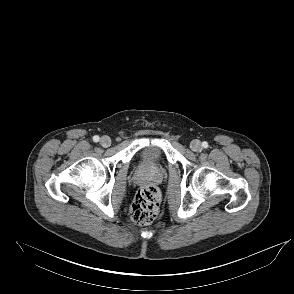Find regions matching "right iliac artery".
<instances>
[{
    "label": "right iliac artery",
    "mask_w": 294,
    "mask_h": 294,
    "mask_svg": "<svg viewBox=\"0 0 294 294\" xmlns=\"http://www.w3.org/2000/svg\"><path fill=\"white\" fill-rule=\"evenodd\" d=\"M99 139H100V138H99V136H97V135H95V136L93 137V141H94V142H98Z\"/></svg>",
    "instance_id": "1"
}]
</instances>
